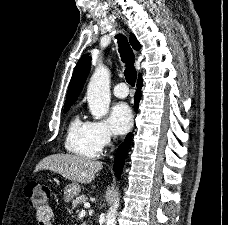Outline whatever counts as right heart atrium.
Listing matches in <instances>:
<instances>
[{"label": "right heart atrium", "instance_id": "obj_1", "mask_svg": "<svg viewBox=\"0 0 228 225\" xmlns=\"http://www.w3.org/2000/svg\"><path fill=\"white\" fill-rule=\"evenodd\" d=\"M93 135L95 137V140L100 145V147L108 146L113 138V132L109 126V124L104 121H93L90 122Z\"/></svg>", "mask_w": 228, "mask_h": 225}]
</instances>
